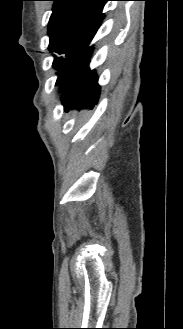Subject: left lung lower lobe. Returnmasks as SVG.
I'll return each mask as SVG.
<instances>
[{
	"label": "left lung lower lobe",
	"instance_id": "1",
	"mask_svg": "<svg viewBox=\"0 0 183 329\" xmlns=\"http://www.w3.org/2000/svg\"><path fill=\"white\" fill-rule=\"evenodd\" d=\"M100 24L80 43L75 52L58 66L56 85L60 86L65 111L92 108L98 102L100 86L95 70L89 68L91 42Z\"/></svg>",
	"mask_w": 183,
	"mask_h": 329
}]
</instances>
